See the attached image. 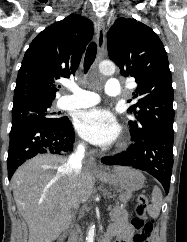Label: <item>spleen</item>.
<instances>
[{"label": "spleen", "instance_id": "spleen-1", "mask_svg": "<svg viewBox=\"0 0 187 242\" xmlns=\"http://www.w3.org/2000/svg\"><path fill=\"white\" fill-rule=\"evenodd\" d=\"M162 205V193L159 187L155 186L152 192V204L148 208V213L152 218H157Z\"/></svg>", "mask_w": 187, "mask_h": 242}]
</instances>
